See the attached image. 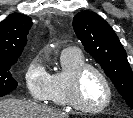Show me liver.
<instances>
[{
  "mask_svg": "<svg viewBox=\"0 0 133 118\" xmlns=\"http://www.w3.org/2000/svg\"><path fill=\"white\" fill-rule=\"evenodd\" d=\"M0 118H69V115L31 101H0Z\"/></svg>",
  "mask_w": 133,
  "mask_h": 118,
  "instance_id": "obj_1",
  "label": "liver"
}]
</instances>
